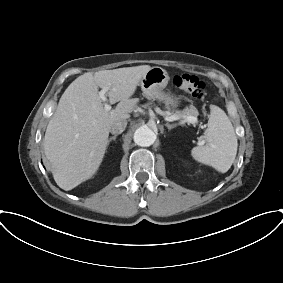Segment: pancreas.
<instances>
[{"instance_id": "pancreas-1", "label": "pancreas", "mask_w": 283, "mask_h": 283, "mask_svg": "<svg viewBox=\"0 0 283 283\" xmlns=\"http://www.w3.org/2000/svg\"><path fill=\"white\" fill-rule=\"evenodd\" d=\"M173 115H176L179 117V119H182L184 116H198V111L194 106H190V108H186L183 111H176L175 113H172Z\"/></svg>"}]
</instances>
